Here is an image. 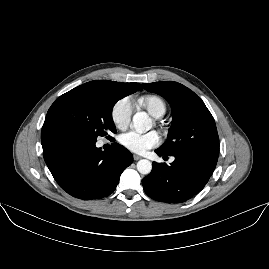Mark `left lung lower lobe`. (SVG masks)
I'll return each instance as SVG.
<instances>
[{"label": "left lung lower lobe", "mask_w": 269, "mask_h": 269, "mask_svg": "<svg viewBox=\"0 0 269 269\" xmlns=\"http://www.w3.org/2000/svg\"><path fill=\"white\" fill-rule=\"evenodd\" d=\"M155 152L159 156L175 157L170 165L153 163L152 172L142 180L145 193L160 202L181 203L198 194L208 182L217 163L178 152H166L161 148Z\"/></svg>", "instance_id": "0a47b994"}]
</instances>
